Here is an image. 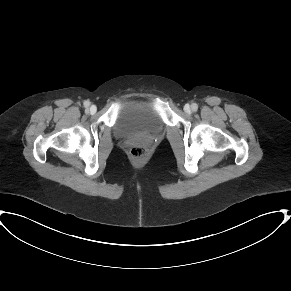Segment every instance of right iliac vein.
<instances>
[{
	"instance_id": "1",
	"label": "right iliac vein",
	"mask_w": 291,
	"mask_h": 291,
	"mask_svg": "<svg viewBox=\"0 0 291 291\" xmlns=\"http://www.w3.org/2000/svg\"><path fill=\"white\" fill-rule=\"evenodd\" d=\"M96 110H97V108H96L95 105H92V106L90 107V109H89V111H90L91 114H94V113L96 112Z\"/></svg>"
}]
</instances>
